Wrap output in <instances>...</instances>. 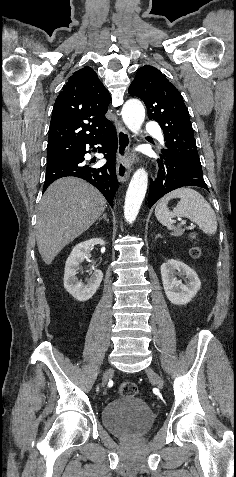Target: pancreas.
Wrapping results in <instances>:
<instances>
[{"mask_svg":"<svg viewBox=\"0 0 236 477\" xmlns=\"http://www.w3.org/2000/svg\"><path fill=\"white\" fill-rule=\"evenodd\" d=\"M183 232H184L183 229H179L176 232L172 233V235L178 237V236H181Z\"/></svg>","mask_w":236,"mask_h":477,"instance_id":"1","label":"pancreas"}]
</instances>
